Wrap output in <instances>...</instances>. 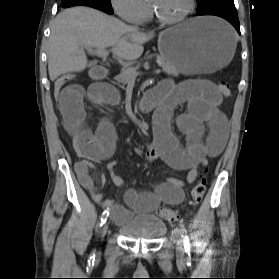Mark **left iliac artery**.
<instances>
[{"label": "left iliac artery", "mask_w": 279, "mask_h": 279, "mask_svg": "<svg viewBox=\"0 0 279 279\" xmlns=\"http://www.w3.org/2000/svg\"><path fill=\"white\" fill-rule=\"evenodd\" d=\"M180 228L182 231V238H183L185 252H189L191 249V244H190L189 236L187 234V230L185 229L182 223L180 224Z\"/></svg>", "instance_id": "1"}]
</instances>
